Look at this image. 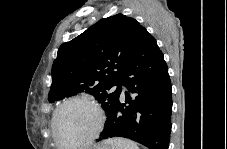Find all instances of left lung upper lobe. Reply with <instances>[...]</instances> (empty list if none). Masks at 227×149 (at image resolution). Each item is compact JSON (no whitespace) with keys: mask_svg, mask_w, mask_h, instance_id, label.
Here are the masks:
<instances>
[{"mask_svg":"<svg viewBox=\"0 0 227 149\" xmlns=\"http://www.w3.org/2000/svg\"><path fill=\"white\" fill-rule=\"evenodd\" d=\"M142 28L137 20L117 14L62 44L52 66L49 102L86 92L108 114L120 95L122 78Z\"/></svg>","mask_w":227,"mask_h":149,"instance_id":"5c2ea615","label":"left lung upper lobe"}]
</instances>
